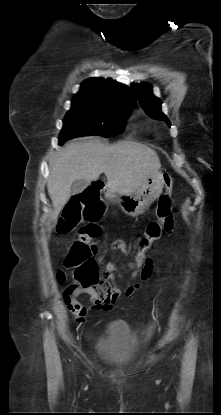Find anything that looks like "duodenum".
Here are the masks:
<instances>
[{"mask_svg": "<svg viewBox=\"0 0 221 415\" xmlns=\"http://www.w3.org/2000/svg\"><path fill=\"white\" fill-rule=\"evenodd\" d=\"M95 187H96L97 189H99V190H102V189H103V187H104V183H103V181H101V180H97V181H95Z\"/></svg>", "mask_w": 221, "mask_h": 415, "instance_id": "1", "label": "duodenum"}]
</instances>
